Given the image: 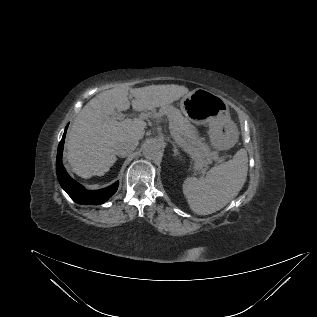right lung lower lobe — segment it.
<instances>
[{
	"instance_id": "obj_1",
	"label": "right lung lower lobe",
	"mask_w": 317,
	"mask_h": 317,
	"mask_svg": "<svg viewBox=\"0 0 317 317\" xmlns=\"http://www.w3.org/2000/svg\"><path fill=\"white\" fill-rule=\"evenodd\" d=\"M66 130L58 146L56 171L57 177L62 188L67 194L78 204L84 205H98L107 201L117 190L119 182L117 181L113 185L96 191H86L82 185L73 180L66 172L62 164V151L66 135Z\"/></svg>"
}]
</instances>
